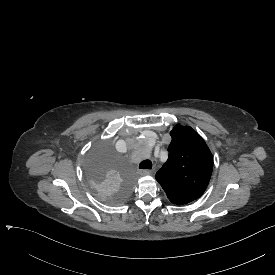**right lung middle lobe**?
Returning a JSON list of instances; mask_svg holds the SVG:
<instances>
[{"instance_id": "dd1d6c3e", "label": "right lung middle lobe", "mask_w": 275, "mask_h": 275, "mask_svg": "<svg viewBox=\"0 0 275 275\" xmlns=\"http://www.w3.org/2000/svg\"><path fill=\"white\" fill-rule=\"evenodd\" d=\"M84 172L97 200L111 207L126 201L136 182L132 166L105 136L92 143L85 158Z\"/></svg>"}]
</instances>
